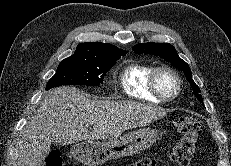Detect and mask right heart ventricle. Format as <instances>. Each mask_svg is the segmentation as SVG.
I'll use <instances>...</instances> for the list:
<instances>
[{
	"label": "right heart ventricle",
	"mask_w": 231,
	"mask_h": 166,
	"mask_svg": "<svg viewBox=\"0 0 231 166\" xmlns=\"http://www.w3.org/2000/svg\"><path fill=\"white\" fill-rule=\"evenodd\" d=\"M154 66L141 62L128 64L120 75V84L124 93L136 100L159 103L149 89V78Z\"/></svg>",
	"instance_id": "obj_1"
}]
</instances>
